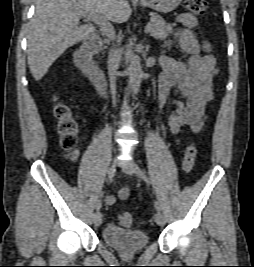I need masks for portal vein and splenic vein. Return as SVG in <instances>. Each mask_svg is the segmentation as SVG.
<instances>
[{
	"label": "portal vein and splenic vein",
	"instance_id": "1",
	"mask_svg": "<svg viewBox=\"0 0 254 267\" xmlns=\"http://www.w3.org/2000/svg\"><path fill=\"white\" fill-rule=\"evenodd\" d=\"M83 16L86 17L87 19H90L96 23H98L101 28L102 31L107 35V37L112 38L115 37V31L113 29V27L111 26L110 23H108L103 17H101L100 15L96 14V13H83ZM150 31V26L146 25L145 26V32H149Z\"/></svg>",
	"mask_w": 254,
	"mask_h": 267
}]
</instances>
